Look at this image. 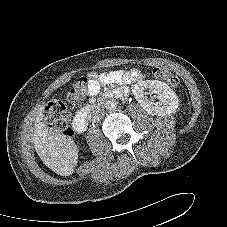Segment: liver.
I'll list each match as a JSON object with an SVG mask.
<instances>
[{
    "label": "liver",
    "mask_w": 227,
    "mask_h": 227,
    "mask_svg": "<svg viewBox=\"0 0 227 227\" xmlns=\"http://www.w3.org/2000/svg\"><path fill=\"white\" fill-rule=\"evenodd\" d=\"M44 105L37 113L33 134L34 148L43 163L61 176L73 173L77 164L78 149L74 141L48 128L43 120Z\"/></svg>",
    "instance_id": "6515ba94"
}]
</instances>
